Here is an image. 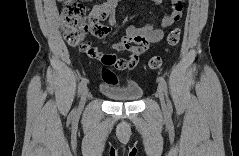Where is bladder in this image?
Instances as JSON below:
<instances>
[{"mask_svg": "<svg viewBox=\"0 0 239 156\" xmlns=\"http://www.w3.org/2000/svg\"><path fill=\"white\" fill-rule=\"evenodd\" d=\"M102 92L112 101L133 102L139 100L143 95V89L138 86L126 89L103 88Z\"/></svg>", "mask_w": 239, "mask_h": 156, "instance_id": "obj_1", "label": "bladder"}]
</instances>
